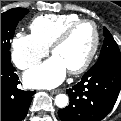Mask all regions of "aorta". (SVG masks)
<instances>
[{
	"mask_svg": "<svg viewBox=\"0 0 121 121\" xmlns=\"http://www.w3.org/2000/svg\"><path fill=\"white\" fill-rule=\"evenodd\" d=\"M69 99L68 96L65 94H58L55 97V104L56 106H58L59 108H64L68 105Z\"/></svg>",
	"mask_w": 121,
	"mask_h": 121,
	"instance_id": "obj_1",
	"label": "aorta"
}]
</instances>
